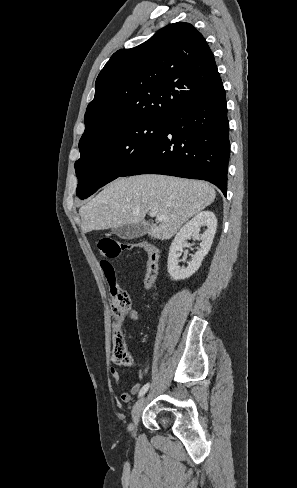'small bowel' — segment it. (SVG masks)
<instances>
[{
  "mask_svg": "<svg viewBox=\"0 0 297 488\" xmlns=\"http://www.w3.org/2000/svg\"><path fill=\"white\" fill-rule=\"evenodd\" d=\"M139 319V313L135 310L133 311H129V313L124 316L121 320H120V326L123 325L124 323H126L127 321L131 320V321H137ZM110 375L113 379V382L115 384V386L117 388H121V376H120V372L117 368L115 367H112L110 369ZM146 376V370L145 369H141L138 373V378L139 380H142L144 379ZM139 390H141V383H135L131 386L129 392H122L121 393V400L124 402V403H128L131 401V398H132V395L136 394ZM140 392V391H139Z\"/></svg>",
  "mask_w": 297,
  "mask_h": 488,
  "instance_id": "1",
  "label": "small bowel"
}]
</instances>
